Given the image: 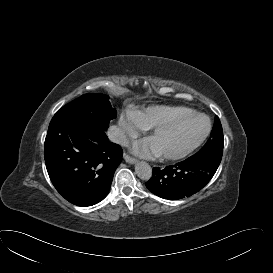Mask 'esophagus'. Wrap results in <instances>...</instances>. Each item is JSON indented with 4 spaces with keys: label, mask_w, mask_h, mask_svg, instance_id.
<instances>
[{
    "label": "esophagus",
    "mask_w": 273,
    "mask_h": 273,
    "mask_svg": "<svg viewBox=\"0 0 273 273\" xmlns=\"http://www.w3.org/2000/svg\"><path fill=\"white\" fill-rule=\"evenodd\" d=\"M124 160L125 162L129 163V164H134L137 162V159L128 155V154H124Z\"/></svg>",
    "instance_id": "obj_1"
}]
</instances>
